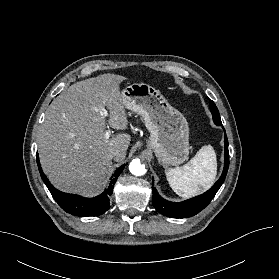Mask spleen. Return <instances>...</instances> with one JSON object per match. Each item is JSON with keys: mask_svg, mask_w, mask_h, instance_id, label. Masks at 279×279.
<instances>
[{"mask_svg": "<svg viewBox=\"0 0 279 279\" xmlns=\"http://www.w3.org/2000/svg\"><path fill=\"white\" fill-rule=\"evenodd\" d=\"M167 180L173 191L188 198L208 189L217 174L216 154L211 145L203 146L184 166L165 170Z\"/></svg>", "mask_w": 279, "mask_h": 279, "instance_id": "spleen-1", "label": "spleen"}]
</instances>
